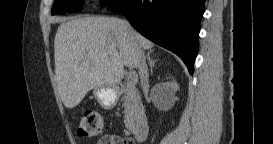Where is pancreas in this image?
<instances>
[{
	"label": "pancreas",
	"mask_w": 273,
	"mask_h": 144,
	"mask_svg": "<svg viewBox=\"0 0 273 144\" xmlns=\"http://www.w3.org/2000/svg\"><path fill=\"white\" fill-rule=\"evenodd\" d=\"M124 106V123L127 129H133L135 122L144 114L141 96L134 86L126 87L122 97Z\"/></svg>",
	"instance_id": "cf45deb5"
}]
</instances>
